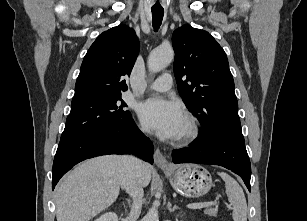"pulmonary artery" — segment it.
<instances>
[{
	"instance_id": "1",
	"label": "pulmonary artery",
	"mask_w": 307,
	"mask_h": 221,
	"mask_svg": "<svg viewBox=\"0 0 307 221\" xmlns=\"http://www.w3.org/2000/svg\"><path fill=\"white\" fill-rule=\"evenodd\" d=\"M172 87V76L168 73L163 74L149 85L148 89L151 91L166 92Z\"/></svg>"
}]
</instances>
